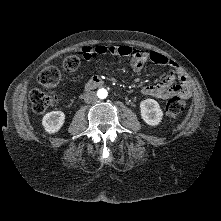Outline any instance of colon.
<instances>
[{"mask_svg":"<svg viewBox=\"0 0 221 221\" xmlns=\"http://www.w3.org/2000/svg\"><path fill=\"white\" fill-rule=\"evenodd\" d=\"M80 65V59L76 55H69L63 60V67L68 71L76 70ZM61 80V71L55 66L42 69L38 75V82L46 88L56 87ZM32 109L35 113L42 114L57 103V98L50 92L40 89H32L29 93ZM185 101L178 96L172 97L166 104V113L170 116L180 115L185 109Z\"/></svg>","mask_w":221,"mask_h":221,"instance_id":"colon-1","label":"colon"}]
</instances>
